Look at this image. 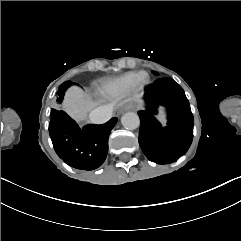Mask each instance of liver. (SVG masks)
<instances>
[{
    "label": "liver",
    "mask_w": 241,
    "mask_h": 241,
    "mask_svg": "<svg viewBox=\"0 0 241 241\" xmlns=\"http://www.w3.org/2000/svg\"><path fill=\"white\" fill-rule=\"evenodd\" d=\"M127 102H141L140 96L135 95L127 98L123 103ZM117 100L112 102L115 105ZM99 105L98 102L93 101L92 97L77 86L70 87L62 103L63 110L77 122L87 119V114Z\"/></svg>",
    "instance_id": "obj_1"
}]
</instances>
